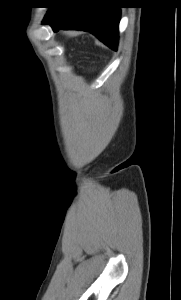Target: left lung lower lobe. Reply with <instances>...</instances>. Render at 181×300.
<instances>
[{
    "instance_id": "obj_1",
    "label": "left lung lower lobe",
    "mask_w": 181,
    "mask_h": 300,
    "mask_svg": "<svg viewBox=\"0 0 181 300\" xmlns=\"http://www.w3.org/2000/svg\"><path fill=\"white\" fill-rule=\"evenodd\" d=\"M119 21L120 7L112 0H59L49 8L43 24H50L54 32L89 31L116 51Z\"/></svg>"
}]
</instances>
